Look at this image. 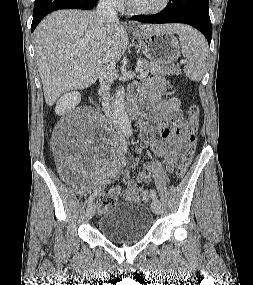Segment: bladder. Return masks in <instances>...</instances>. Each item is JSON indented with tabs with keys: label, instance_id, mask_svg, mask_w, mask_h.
I'll use <instances>...</instances> for the list:
<instances>
[{
	"label": "bladder",
	"instance_id": "31cf9c89",
	"mask_svg": "<svg viewBox=\"0 0 253 285\" xmlns=\"http://www.w3.org/2000/svg\"><path fill=\"white\" fill-rule=\"evenodd\" d=\"M153 216L139 201H124L103 210L98 221L101 234L116 243H132L143 239L150 231Z\"/></svg>",
	"mask_w": 253,
	"mask_h": 285
}]
</instances>
